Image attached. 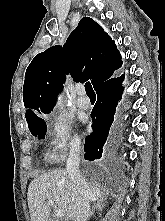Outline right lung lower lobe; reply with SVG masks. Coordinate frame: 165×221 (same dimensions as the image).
Masks as SVG:
<instances>
[{
  "label": "right lung lower lobe",
  "instance_id": "obj_1",
  "mask_svg": "<svg viewBox=\"0 0 165 221\" xmlns=\"http://www.w3.org/2000/svg\"><path fill=\"white\" fill-rule=\"evenodd\" d=\"M123 80L124 75L114 76L95 89L97 102L91 113L93 133L86 137L84 145L86 160L100 159L103 150L107 151L121 138V129L116 123H112L117 103L122 96Z\"/></svg>",
  "mask_w": 165,
  "mask_h": 221
}]
</instances>
